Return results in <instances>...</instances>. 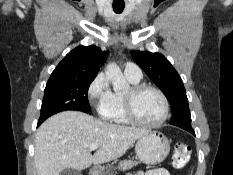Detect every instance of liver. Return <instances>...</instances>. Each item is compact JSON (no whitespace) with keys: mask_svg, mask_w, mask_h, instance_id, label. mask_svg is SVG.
Instances as JSON below:
<instances>
[{"mask_svg":"<svg viewBox=\"0 0 233 175\" xmlns=\"http://www.w3.org/2000/svg\"><path fill=\"white\" fill-rule=\"evenodd\" d=\"M149 132L101 121L77 111H64L48 118L37 130L35 166L37 175H59L64 169L82 170L123 156ZM99 149L91 154L90 146Z\"/></svg>","mask_w":233,"mask_h":175,"instance_id":"liver-1","label":"liver"}]
</instances>
